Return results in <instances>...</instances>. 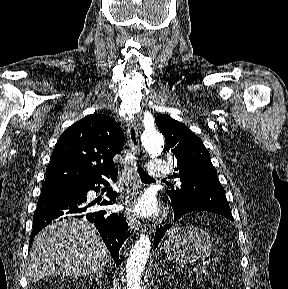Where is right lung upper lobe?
Instances as JSON below:
<instances>
[{"instance_id":"right-lung-upper-lobe-1","label":"right lung upper lobe","mask_w":288,"mask_h":289,"mask_svg":"<svg viewBox=\"0 0 288 289\" xmlns=\"http://www.w3.org/2000/svg\"><path fill=\"white\" fill-rule=\"evenodd\" d=\"M124 135L109 116L92 114L66 129L46 169L42 191L72 188L105 178L117 171L113 162Z\"/></svg>"}]
</instances>
